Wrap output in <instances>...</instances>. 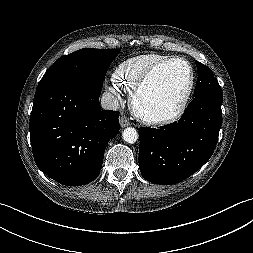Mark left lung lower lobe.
<instances>
[{
	"label": "left lung lower lobe",
	"instance_id": "obj_1",
	"mask_svg": "<svg viewBox=\"0 0 253 253\" xmlns=\"http://www.w3.org/2000/svg\"><path fill=\"white\" fill-rule=\"evenodd\" d=\"M222 96L195 97L172 124L140 128L139 168L144 179L161 185L178 183L212 156L222 124Z\"/></svg>",
	"mask_w": 253,
	"mask_h": 253
}]
</instances>
